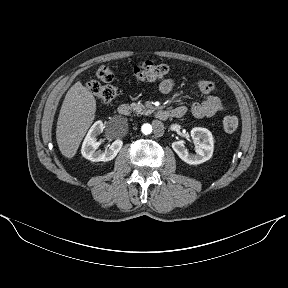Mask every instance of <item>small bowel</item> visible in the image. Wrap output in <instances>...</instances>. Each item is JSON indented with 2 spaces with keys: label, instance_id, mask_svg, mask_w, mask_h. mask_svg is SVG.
<instances>
[{
  "label": "small bowel",
  "instance_id": "obj_1",
  "mask_svg": "<svg viewBox=\"0 0 288 288\" xmlns=\"http://www.w3.org/2000/svg\"><path fill=\"white\" fill-rule=\"evenodd\" d=\"M173 87L174 81L172 78H165L158 84V89L162 94L170 93ZM195 87L201 92L203 98L200 102L191 105L190 113L193 117L198 119L212 117L216 113L226 110L224 102L212 94L215 88L212 81L206 79L198 80L195 83ZM174 109L182 111V116L187 112V107L182 105Z\"/></svg>",
  "mask_w": 288,
  "mask_h": 288
}]
</instances>
